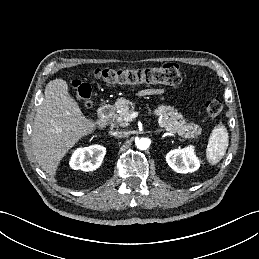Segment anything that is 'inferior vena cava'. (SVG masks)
<instances>
[{
	"label": "inferior vena cava",
	"instance_id": "inferior-vena-cava-1",
	"mask_svg": "<svg viewBox=\"0 0 259 259\" xmlns=\"http://www.w3.org/2000/svg\"><path fill=\"white\" fill-rule=\"evenodd\" d=\"M110 133H111V135L118 137V138H122L126 135L125 131H115V132L111 131Z\"/></svg>",
	"mask_w": 259,
	"mask_h": 259
}]
</instances>
